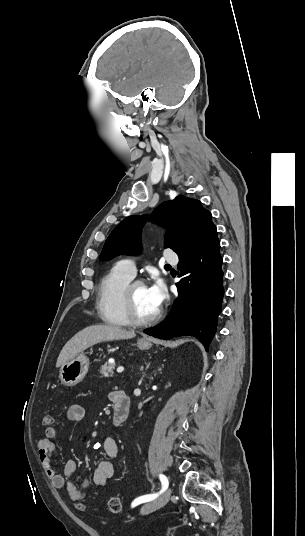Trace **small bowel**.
Wrapping results in <instances>:
<instances>
[{
    "label": "small bowel",
    "mask_w": 305,
    "mask_h": 536,
    "mask_svg": "<svg viewBox=\"0 0 305 536\" xmlns=\"http://www.w3.org/2000/svg\"><path fill=\"white\" fill-rule=\"evenodd\" d=\"M110 399H113V393L110 395ZM85 415L86 410L80 404L70 406L66 413L67 419L72 423H80ZM56 438L57 429L54 426L46 427L44 437L38 443V456L43 469L54 488L65 489L68 497L70 495H83L85 497V491L89 485L88 480H84L80 485H77L73 480L79 466L78 461L74 459L66 461L63 474L58 473L53 465L52 456L57 450ZM100 448L110 458H115L118 454L117 443L111 437L104 438L100 443ZM114 473L113 463L109 460H101L94 470L93 482L98 486H104L113 478Z\"/></svg>",
    "instance_id": "c3829d8e"
}]
</instances>
